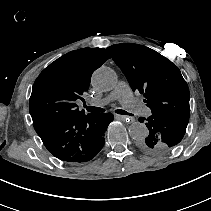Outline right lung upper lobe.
Returning a JSON list of instances; mask_svg holds the SVG:
<instances>
[{
    "instance_id": "1",
    "label": "right lung upper lobe",
    "mask_w": 211,
    "mask_h": 211,
    "mask_svg": "<svg viewBox=\"0 0 211 211\" xmlns=\"http://www.w3.org/2000/svg\"><path fill=\"white\" fill-rule=\"evenodd\" d=\"M109 58L105 49L83 48L63 55L40 73L29 101L36 132L85 114L75 102L83 100L92 73Z\"/></svg>"
}]
</instances>
